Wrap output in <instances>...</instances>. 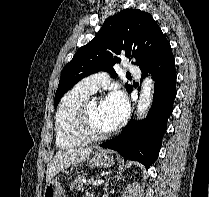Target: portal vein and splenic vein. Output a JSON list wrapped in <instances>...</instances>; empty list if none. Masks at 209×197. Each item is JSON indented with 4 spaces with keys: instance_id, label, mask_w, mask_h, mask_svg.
I'll use <instances>...</instances> for the list:
<instances>
[{
    "instance_id": "portal-vein-and-splenic-vein-1",
    "label": "portal vein and splenic vein",
    "mask_w": 209,
    "mask_h": 197,
    "mask_svg": "<svg viewBox=\"0 0 209 197\" xmlns=\"http://www.w3.org/2000/svg\"><path fill=\"white\" fill-rule=\"evenodd\" d=\"M103 183H104V180H97V181L92 182V185L93 186H98V185H101Z\"/></svg>"
}]
</instances>
